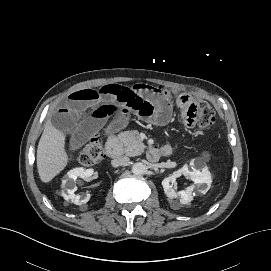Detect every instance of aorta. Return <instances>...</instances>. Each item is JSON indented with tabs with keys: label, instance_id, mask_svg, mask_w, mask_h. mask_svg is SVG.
Segmentation results:
<instances>
[{
	"label": "aorta",
	"instance_id": "762f6f07",
	"mask_svg": "<svg viewBox=\"0 0 271 271\" xmlns=\"http://www.w3.org/2000/svg\"><path fill=\"white\" fill-rule=\"evenodd\" d=\"M146 170V165L141 162H137L132 166V173L137 176L144 175Z\"/></svg>",
	"mask_w": 271,
	"mask_h": 271
}]
</instances>
